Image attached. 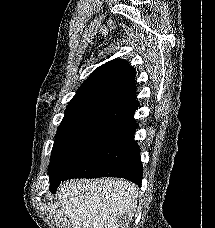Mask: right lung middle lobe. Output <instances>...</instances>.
<instances>
[{"instance_id":"dd1d6c3e","label":"right lung middle lobe","mask_w":215,"mask_h":228,"mask_svg":"<svg viewBox=\"0 0 215 228\" xmlns=\"http://www.w3.org/2000/svg\"><path fill=\"white\" fill-rule=\"evenodd\" d=\"M128 127L121 122L94 120L58 131L48 167L50 191L70 170Z\"/></svg>"}]
</instances>
